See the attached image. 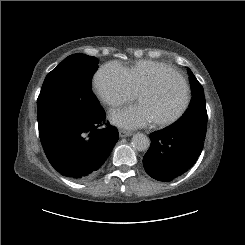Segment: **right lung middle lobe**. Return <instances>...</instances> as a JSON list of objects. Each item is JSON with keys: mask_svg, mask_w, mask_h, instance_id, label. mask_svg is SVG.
<instances>
[{"mask_svg": "<svg viewBox=\"0 0 245 245\" xmlns=\"http://www.w3.org/2000/svg\"><path fill=\"white\" fill-rule=\"evenodd\" d=\"M97 63L95 57L73 54L46 76L37 100L39 135L100 114L102 110L91 91Z\"/></svg>", "mask_w": 245, "mask_h": 245, "instance_id": "right-lung-middle-lobe-1", "label": "right lung middle lobe"}]
</instances>
